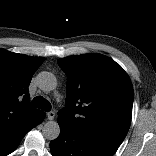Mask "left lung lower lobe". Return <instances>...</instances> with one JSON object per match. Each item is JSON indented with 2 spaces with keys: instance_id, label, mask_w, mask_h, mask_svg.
Segmentation results:
<instances>
[{
  "instance_id": "left-lung-lower-lobe-1",
  "label": "left lung lower lobe",
  "mask_w": 156,
  "mask_h": 156,
  "mask_svg": "<svg viewBox=\"0 0 156 156\" xmlns=\"http://www.w3.org/2000/svg\"><path fill=\"white\" fill-rule=\"evenodd\" d=\"M58 123L60 135L50 142L53 156H113L119 147L101 137L77 132L62 120Z\"/></svg>"
}]
</instances>
